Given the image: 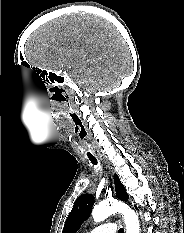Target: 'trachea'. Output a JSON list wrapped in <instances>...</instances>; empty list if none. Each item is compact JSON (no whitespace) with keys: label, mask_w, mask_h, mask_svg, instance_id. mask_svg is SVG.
Returning a JSON list of instances; mask_svg holds the SVG:
<instances>
[{"label":"trachea","mask_w":184,"mask_h":233,"mask_svg":"<svg viewBox=\"0 0 184 233\" xmlns=\"http://www.w3.org/2000/svg\"><path fill=\"white\" fill-rule=\"evenodd\" d=\"M78 134H79V138H80L81 142L84 145L85 155L88 157V159L91 161V163L93 165H97L98 162H97L96 157L93 154L92 149L86 144V140H87V137H88V133H87L86 129L82 126L80 128ZM118 233H124L123 228H120Z\"/></svg>","instance_id":"trachea-1"}]
</instances>
